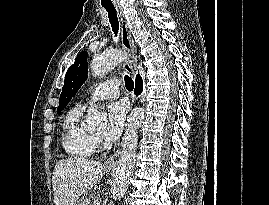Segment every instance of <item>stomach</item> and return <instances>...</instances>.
<instances>
[{"mask_svg": "<svg viewBox=\"0 0 269 205\" xmlns=\"http://www.w3.org/2000/svg\"><path fill=\"white\" fill-rule=\"evenodd\" d=\"M107 169H110V167H107ZM75 205H90V201L88 199H86V198H82Z\"/></svg>", "mask_w": 269, "mask_h": 205, "instance_id": "stomach-1", "label": "stomach"}]
</instances>
